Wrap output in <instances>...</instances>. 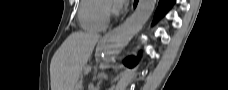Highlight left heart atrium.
I'll list each match as a JSON object with an SVG mask.
<instances>
[{
  "label": "left heart atrium",
  "instance_id": "39dd6f15",
  "mask_svg": "<svg viewBox=\"0 0 228 90\" xmlns=\"http://www.w3.org/2000/svg\"><path fill=\"white\" fill-rule=\"evenodd\" d=\"M113 9H114V11H118V10L120 9V6L117 5V4H115V5L113 6Z\"/></svg>",
  "mask_w": 228,
  "mask_h": 90
}]
</instances>
